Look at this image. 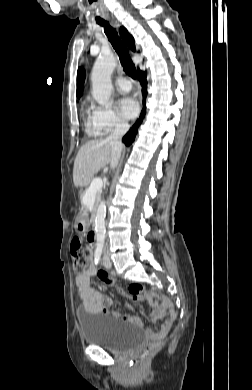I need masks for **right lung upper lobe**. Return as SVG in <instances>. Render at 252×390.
Instances as JSON below:
<instances>
[{
	"label": "right lung upper lobe",
	"instance_id": "right-lung-upper-lobe-1",
	"mask_svg": "<svg viewBox=\"0 0 252 390\" xmlns=\"http://www.w3.org/2000/svg\"><path fill=\"white\" fill-rule=\"evenodd\" d=\"M120 35L123 39V41L131 48L132 51H135V44L133 37L129 34V32L126 30V28L121 27L120 28ZM84 70L83 68L78 69L77 73V96H81L82 94V87L84 82Z\"/></svg>",
	"mask_w": 252,
	"mask_h": 390
}]
</instances>
